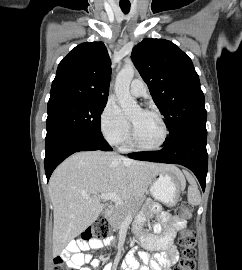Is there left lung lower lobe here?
Returning <instances> with one entry per match:
<instances>
[{
	"label": "left lung lower lobe",
	"mask_w": 242,
	"mask_h": 270,
	"mask_svg": "<svg viewBox=\"0 0 242 270\" xmlns=\"http://www.w3.org/2000/svg\"><path fill=\"white\" fill-rule=\"evenodd\" d=\"M206 142V127L196 126L166 140L165 147L160 151L137 152L128 156L137 160L183 165L196 175L204 191L208 168Z\"/></svg>",
	"instance_id": "obj_1"
}]
</instances>
